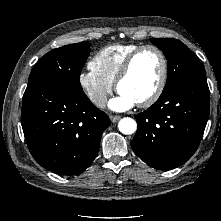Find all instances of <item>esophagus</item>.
I'll use <instances>...</instances> for the list:
<instances>
[{
  "label": "esophagus",
  "instance_id": "esophagus-1",
  "mask_svg": "<svg viewBox=\"0 0 221 221\" xmlns=\"http://www.w3.org/2000/svg\"><path fill=\"white\" fill-rule=\"evenodd\" d=\"M111 122L115 123L117 122L121 117L119 115H110Z\"/></svg>",
  "mask_w": 221,
  "mask_h": 221
}]
</instances>
